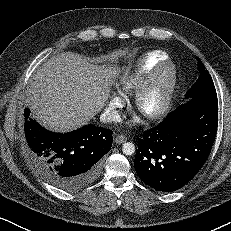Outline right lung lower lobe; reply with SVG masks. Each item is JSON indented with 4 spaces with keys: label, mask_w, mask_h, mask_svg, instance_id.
Here are the masks:
<instances>
[{
    "label": "right lung lower lobe",
    "mask_w": 231,
    "mask_h": 231,
    "mask_svg": "<svg viewBox=\"0 0 231 231\" xmlns=\"http://www.w3.org/2000/svg\"><path fill=\"white\" fill-rule=\"evenodd\" d=\"M25 136L38 169L54 186L75 192L95 181L103 156L110 151L113 132L85 125L70 133H54L41 127L25 109Z\"/></svg>",
    "instance_id": "98d812e1"
}]
</instances>
